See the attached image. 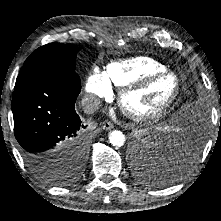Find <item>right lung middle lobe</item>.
I'll list each match as a JSON object with an SVG mask.
<instances>
[{"label": "right lung middle lobe", "mask_w": 221, "mask_h": 221, "mask_svg": "<svg viewBox=\"0 0 221 221\" xmlns=\"http://www.w3.org/2000/svg\"><path fill=\"white\" fill-rule=\"evenodd\" d=\"M78 51L77 46L59 43H50L38 48L26 59L16 79L14 92L21 91L29 84L42 79L73 78L79 81L80 78L74 70ZM41 177L58 185L68 181L55 172Z\"/></svg>", "instance_id": "1"}]
</instances>
